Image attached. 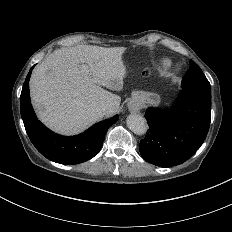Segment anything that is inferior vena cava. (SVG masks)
<instances>
[{
	"label": "inferior vena cava",
	"instance_id": "1",
	"mask_svg": "<svg viewBox=\"0 0 232 232\" xmlns=\"http://www.w3.org/2000/svg\"><path fill=\"white\" fill-rule=\"evenodd\" d=\"M101 111L103 114H106L108 112H112V110L110 109V107L108 105H104L102 108H101Z\"/></svg>",
	"mask_w": 232,
	"mask_h": 232
}]
</instances>
